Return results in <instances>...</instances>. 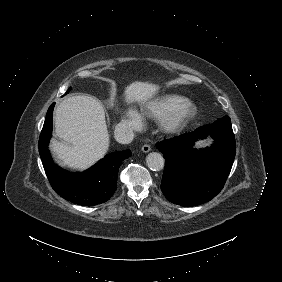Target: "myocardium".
<instances>
[{"instance_id": "1", "label": "myocardium", "mask_w": 282, "mask_h": 282, "mask_svg": "<svg viewBox=\"0 0 282 282\" xmlns=\"http://www.w3.org/2000/svg\"><path fill=\"white\" fill-rule=\"evenodd\" d=\"M192 105L190 102H185L181 104L176 110L172 113V119L173 120H180L183 118H186L191 115V109Z\"/></svg>"}]
</instances>
